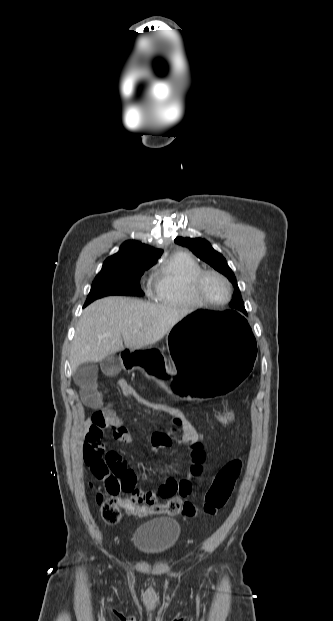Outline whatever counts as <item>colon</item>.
Segmentation results:
<instances>
[{"label":"colon","mask_w":333,"mask_h":621,"mask_svg":"<svg viewBox=\"0 0 333 621\" xmlns=\"http://www.w3.org/2000/svg\"><path fill=\"white\" fill-rule=\"evenodd\" d=\"M134 399L157 411H178L181 412L178 402L161 396L146 397L136 392ZM236 412L230 404L216 414L219 422L226 424L235 419ZM242 461L239 458L233 459L225 464L215 476L210 488L205 495L203 505L204 512L209 516H215L227 504L236 481L240 475ZM94 477L102 482L103 489L96 492V502L100 505L101 517L108 524H115L121 519V509L127 513L138 516H145L157 513H167L170 515L182 514L185 517H193L196 513L195 506L188 501H183L178 497L170 498L165 503H153L133 509L127 502L119 497L121 492L132 491L137 484V477L128 465L123 468H116L109 463L101 462L99 467L93 472Z\"/></svg>","instance_id":"1"}]
</instances>
